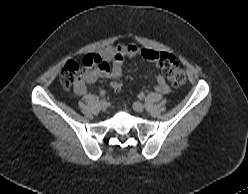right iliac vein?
Here are the masks:
<instances>
[{"mask_svg": "<svg viewBox=\"0 0 248 194\" xmlns=\"http://www.w3.org/2000/svg\"><path fill=\"white\" fill-rule=\"evenodd\" d=\"M99 105H100V108H101L103 111H106L107 108H108V103H107L105 100L100 101Z\"/></svg>", "mask_w": 248, "mask_h": 194, "instance_id": "obj_1", "label": "right iliac vein"}]
</instances>
